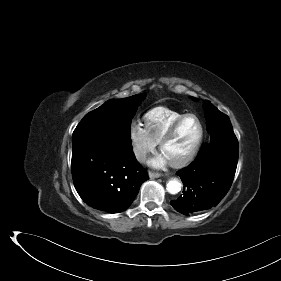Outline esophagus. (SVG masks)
Segmentation results:
<instances>
[{"instance_id":"esophagus-1","label":"esophagus","mask_w":281,"mask_h":281,"mask_svg":"<svg viewBox=\"0 0 281 281\" xmlns=\"http://www.w3.org/2000/svg\"><path fill=\"white\" fill-rule=\"evenodd\" d=\"M148 175H149V177H150L151 179L159 178V177L163 176V174H161V173L152 172V171H150Z\"/></svg>"}]
</instances>
